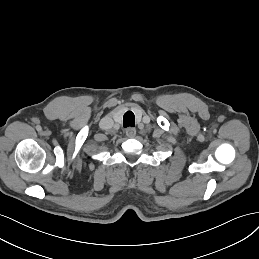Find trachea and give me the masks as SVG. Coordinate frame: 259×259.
I'll return each instance as SVG.
<instances>
[{"mask_svg":"<svg viewBox=\"0 0 259 259\" xmlns=\"http://www.w3.org/2000/svg\"><path fill=\"white\" fill-rule=\"evenodd\" d=\"M123 119H124L123 126L125 128L129 127V126H134L135 125V116H134L132 111H127L124 114V118Z\"/></svg>","mask_w":259,"mask_h":259,"instance_id":"1","label":"trachea"}]
</instances>
